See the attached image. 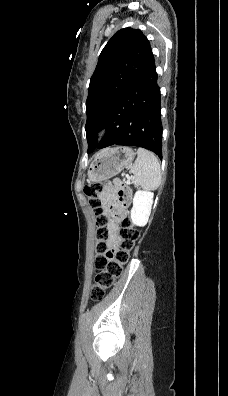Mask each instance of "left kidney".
Here are the masks:
<instances>
[{"label":"left kidney","mask_w":228,"mask_h":396,"mask_svg":"<svg viewBox=\"0 0 228 396\" xmlns=\"http://www.w3.org/2000/svg\"><path fill=\"white\" fill-rule=\"evenodd\" d=\"M153 192L138 190L133 197L131 221L136 226H145L153 204Z\"/></svg>","instance_id":"left-kidney-1"}]
</instances>
